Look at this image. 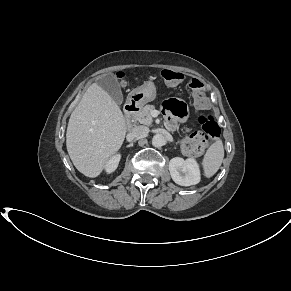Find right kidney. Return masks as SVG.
Wrapping results in <instances>:
<instances>
[{"mask_svg": "<svg viewBox=\"0 0 291 291\" xmlns=\"http://www.w3.org/2000/svg\"><path fill=\"white\" fill-rule=\"evenodd\" d=\"M120 158H121L120 154L114 155L113 157L110 158L105 167L107 173H112L113 171H115L119 164Z\"/></svg>", "mask_w": 291, "mask_h": 291, "instance_id": "ca27d5eb", "label": "right kidney"}]
</instances>
